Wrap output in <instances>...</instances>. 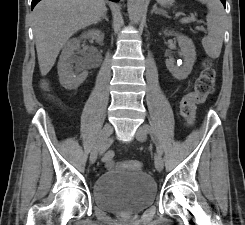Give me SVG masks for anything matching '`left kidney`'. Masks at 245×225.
Here are the masks:
<instances>
[{"label":"left kidney","instance_id":"5707ae66","mask_svg":"<svg viewBox=\"0 0 245 225\" xmlns=\"http://www.w3.org/2000/svg\"><path fill=\"white\" fill-rule=\"evenodd\" d=\"M166 35H174L177 37L178 45L181 49L179 55L183 57V64L181 66L175 65V61L172 58L166 59V67L169 72L178 80H183L191 73L193 65L196 61V52L193 41L184 35L165 32Z\"/></svg>","mask_w":245,"mask_h":225}]
</instances>
